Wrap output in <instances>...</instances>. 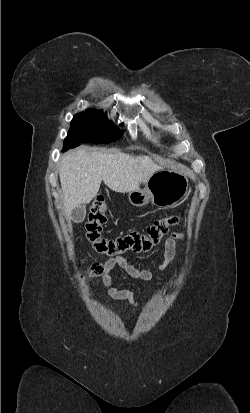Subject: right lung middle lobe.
Wrapping results in <instances>:
<instances>
[{"instance_id":"obj_1","label":"right lung middle lobe","mask_w":250,"mask_h":413,"mask_svg":"<svg viewBox=\"0 0 250 413\" xmlns=\"http://www.w3.org/2000/svg\"><path fill=\"white\" fill-rule=\"evenodd\" d=\"M122 134L104 114L87 110L74 116L62 151L75 148L81 142L110 143L118 140Z\"/></svg>"}]
</instances>
